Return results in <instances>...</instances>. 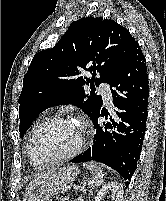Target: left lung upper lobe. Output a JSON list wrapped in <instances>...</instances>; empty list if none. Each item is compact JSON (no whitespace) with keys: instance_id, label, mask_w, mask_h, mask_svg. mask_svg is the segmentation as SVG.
Here are the masks:
<instances>
[{"instance_id":"left-lung-upper-lobe-1","label":"left lung upper lobe","mask_w":166,"mask_h":201,"mask_svg":"<svg viewBox=\"0 0 166 201\" xmlns=\"http://www.w3.org/2000/svg\"><path fill=\"white\" fill-rule=\"evenodd\" d=\"M137 41L114 20L85 17L74 21L51 49L38 52L23 79L19 97L20 137L47 108L73 103L91 119L102 97L86 95L84 86L110 83L131 56ZM85 71L93 74L84 77ZM99 75V79L95 76Z\"/></svg>"}]
</instances>
